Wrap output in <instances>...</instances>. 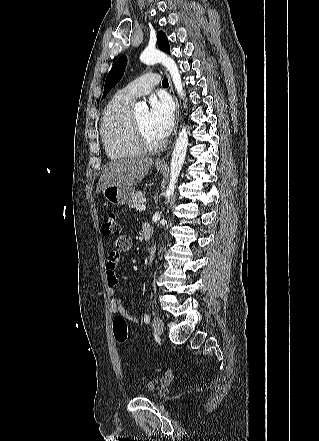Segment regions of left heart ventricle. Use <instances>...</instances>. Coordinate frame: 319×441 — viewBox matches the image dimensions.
<instances>
[{
  "instance_id": "left-heart-ventricle-1",
  "label": "left heart ventricle",
  "mask_w": 319,
  "mask_h": 441,
  "mask_svg": "<svg viewBox=\"0 0 319 441\" xmlns=\"http://www.w3.org/2000/svg\"><path fill=\"white\" fill-rule=\"evenodd\" d=\"M142 132L144 133L146 139L152 143L160 141L152 132L149 124V114L147 112L138 115L136 118Z\"/></svg>"
}]
</instances>
